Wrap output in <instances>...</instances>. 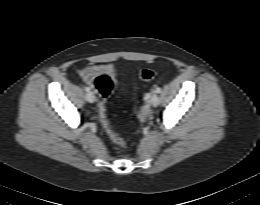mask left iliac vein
Segmentation results:
<instances>
[{
    "instance_id": "1",
    "label": "left iliac vein",
    "mask_w": 260,
    "mask_h": 205,
    "mask_svg": "<svg viewBox=\"0 0 260 205\" xmlns=\"http://www.w3.org/2000/svg\"><path fill=\"white\" fill-rule=\"evenodd\" d=\"M160 99L156 93H153L150 97L149 103L153 107H157L159 105Z\"/></svg>"
}]
</instances>
